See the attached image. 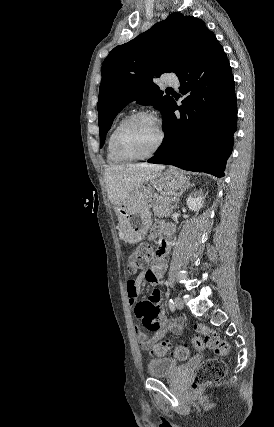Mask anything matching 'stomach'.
I'll return each mask as SVG.
<instances>
[{"mask_svg":"<svg viewBox=\"0 0 274 427\" xmlns=\"http://www.w3.org/2000/svg\"><path fill=\"white\" fill-rule=\"evenodd\" d=\"M155 184L163 190H183L189 186V178L185 172H181L178 168L169 166L168 170L158 174ZM152 190L150 186L141 184L133 192V200L129 202L128 206L121 204L119 208H115L118 215L120 231L128 243H137L145 237L150 225H152V217L149 208L151 202Z\"/></svg>","mask_w":274,"mask_h":427,"instance_id":"1","label":"stomach"}]
</instances>
